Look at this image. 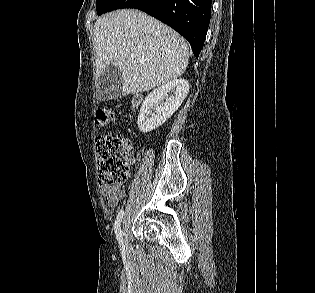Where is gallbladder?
<instances>
[{
    "label": "gallbladder",
    "instance_id": "1",
    "mask_svg": "<svg viewBox=\"0 0 315 293\" xmlns=\"http://www.w3.org/2000/svg\"><path fill=\"white\" fill-rule=\"evenodd\" d=\"M101 100L118 99L122 96V71L119 67H106L98 79Z\"/></svg>",
    "mask_w": 315,
    "mask_h": 293
}]
</instances>
